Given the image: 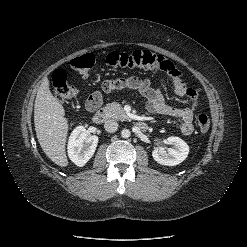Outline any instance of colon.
Listing matches in <instances>:
<instances>
[{
	"mask_svg": "<svg viewBox=\"0 0 247 247\" xmlns=\"http://www.w3.org/2000/svg\"><path fill=\"white\" fill-rule=\"evenodd\" d=\"M93 54L87 53L70 61V66L82 76H87L94 66ZM106 64L113 68L144 69L152 72H167L171 77L180 75V72L164 57L147 50H138L132 53L112 52L106 57ZM53 94L60 101L65 102L78 93L75 86L67 80L63 70H57L52 76ZM197 126L200 132L209 130L210 119L206 114L197 117Z\"/></svg>",
	"mask_w": 247,
	"mask_h": 247,
	"instance_id": "obj_1",
	"label": "colon"
}]
</instances>
